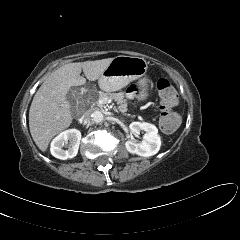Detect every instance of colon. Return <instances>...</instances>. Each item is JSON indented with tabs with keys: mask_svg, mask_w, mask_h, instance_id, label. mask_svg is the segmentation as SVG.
Listing matches in <instances>:
<instances>
[{
	"mask_svg": "<svg viewBox=\"0 0 240 240\" xmlns=\"http://www.w3.org/2000/svg\"><path fill=\"white\" fill-rule=\"evenodd\" d=\"M157 91L161 101L160 128L167 133L173 132L180 124V116L174 111L178 100L177 92L165 78L157 81Z\"/></svg>",
	"mask_w": 240,
	"mask_h": 240,
	"instance_id": "5ec220e1",
	"label": "colon"
}]
</instances>
